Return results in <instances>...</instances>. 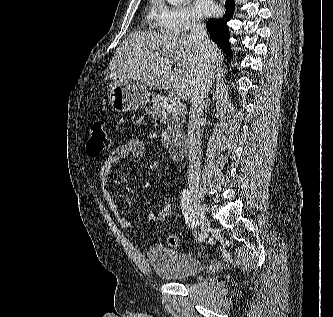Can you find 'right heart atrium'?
I'll return each mask as SVG.
<instances>
[{"instance_id": "obj_1", "label": "right heart atrium", "mask_w": 333, "mask_h": 317, "mask_svg": "<svg viewBox=\"0 0 333 317\" xmlns=\"http://www.w3.org/2000/svg\"><path fill=\"white\" fill-rule=\"evenodd\" d=\"M157 26L166 32L181 33L199 26V20L188 5L171 6L164 0H157Z\"/></svg>"}]
</instances>
